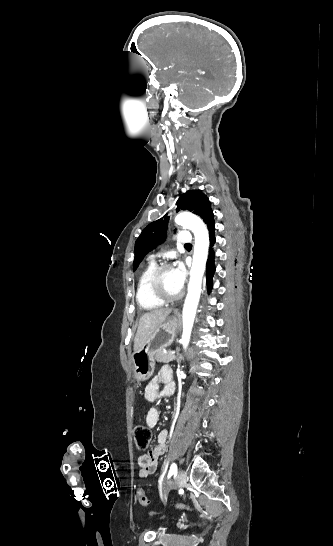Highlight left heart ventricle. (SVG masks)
<instances>
[{"mask_svg": "<svg viewBox=\"0 0 333 546\" xmlns=\"http://www.w3.org/2000/svg\"><path fill=\"white\" fill-rule=\"evenodd\" d=\"M162 288L168 296H175L180 293L181 290H179L175 284L172 270L166 271L161 279Z\"/></svg>", "mask_w": 333, "mask_h": 546, "instance_id": "b2bd125f", "label": "left heart ventricle"}]
</instances>
